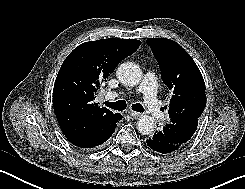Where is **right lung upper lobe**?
I'll return each instance as SVG.
<instances>
[{"label":"right lung upper lobe","instance_id":"obj_1","mask_svg":"<svg viewBox=\"0 0 245 189\" xmlns=\"http://www.w3.org/2000/svg\"><path fill=\"white\" fill-rule=\"evenodd\" d=\"M136 39H102L85 42L64 60L53 89L54 111L65 137L75 146L90 144L97 134L98 120L107 133L115 130L122 116L95 102L96 92L118 63L140 46Z\"/></svg>","mask_w":245,"mask_h":189}]
</instances>
